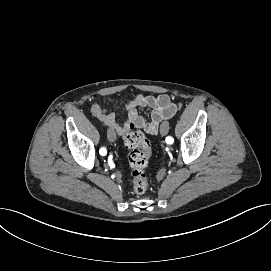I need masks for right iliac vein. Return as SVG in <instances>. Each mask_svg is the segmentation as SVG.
Listing matches in <instances>:
<instances>
[{
    "instance_id": "right-iliac-vein-1",
    "label": "right iliac vein",
    "mask_w": 271,
    "mask_h": 271,
    "mask_svg": "<svg viewBox=\"0 0 271 271\" xmlns=\"http://www.w3.org/2000/svg\"><path fill=\"white\" fill-rule=\"evenodd\" d=\"M107 138L110 142H114L116 140V133L113 129H108Z\"/></svg>"
}]
</instances>
